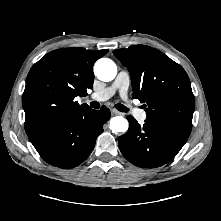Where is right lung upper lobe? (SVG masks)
<instances>
[{"mask_svg": "<svg viewBox=\"0 0 221 221\" xmlns=\"http://www.w3.org/2000/svg\"><path fill=\"white\" fill-rule=\"evenodd\" d=\"M107 52V49H58L35 63L28 73L22 97L26 133L88 108L86 104L79 105L75 97L85 96L87 89H92L93 65Z\"/></svg>", "mask_w": 221, "mask_h": 221, "instance_id": "obj_1", "label": "right lung upper lobe"}]
</instances>
